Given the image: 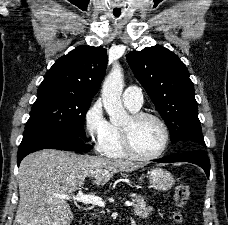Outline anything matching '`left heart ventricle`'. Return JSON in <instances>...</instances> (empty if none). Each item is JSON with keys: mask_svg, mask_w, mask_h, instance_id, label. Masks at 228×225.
Instances as JSON below:
<instances>
[{"mask_svg": "<svg viewBox=\"0 0 228 225\" xmlns=\"http://www.w3.org/2000/svg\"><path fill=\"white\" fill-rule=\"evenodd\" d=\"M130 128L136 148L145 155L159 152L164 144V130L159 122L147 118L139 123H133L131 118L124 125Z\"/></svg>", "mask_w": 228, "mask_h": 225, "instance_id": "1", "label": "left heart ventricle"}]
</instances>
